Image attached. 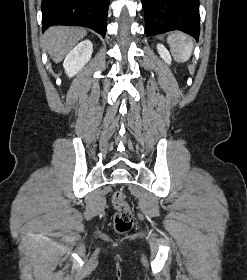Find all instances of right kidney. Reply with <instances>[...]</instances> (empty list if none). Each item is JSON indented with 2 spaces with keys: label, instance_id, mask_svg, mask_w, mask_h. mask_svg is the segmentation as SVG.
<instances>
[{
  "label": "right kidney",
  "instance_id": "ca27d5eb",
  "mask_svg": "<svg viewBox=\"0 0 247 280\" xmlns=\"http://www.w3.org/2000/svg\"><path fill=\"white\" fill-rule=\"evenodd\" d=\"M93 52L91 41L84 40L71 50L63 63L66 74L69 77L76 75L84 65L90 60Z\"/></svg>",
  "mask_w": 247,
  "mask_h": 280
}]
</instances>
